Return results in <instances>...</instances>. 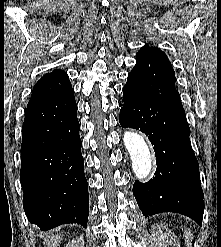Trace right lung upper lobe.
I'll list each match as a JSON object with an SVG mask.
<instances>
[{"mask_svg":"<svg viewBox=\"0 0 221 247\" xmlns=\"http://www.w3.org/2000/svg\"><path fill=\"white\" fill-rule=\"evenodd\" d=\"M72 89L66 72L56 69L45 74L34 86L29 105L56 97Z\"/></svg>","mask_w":221,"mask_h":247,"instance_id":"right-lung-upper-lobe-1","label":"right lung upper lobe"}]
</instances>
